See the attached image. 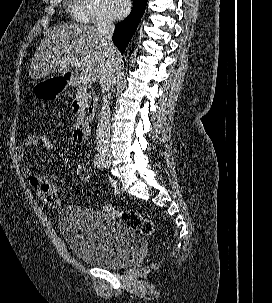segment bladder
<instances>
[{
  "label": "bladder",
  "instance_id": "obj_1",
  "mask_svg": "<svg viewBox=\"0 0 272 303\" xmlns=\"http://www.w3.org/2000/svg\"><path fill=\"white\" fill-rule=\"evenodd\" d=\"M58 226L73 254L87 264L121 268L139 254L135 233L100 210L68 205L61 210Z\"/></svg>",
  "mask_w": 272,
  "mask_h": 303
}]
</instances>
